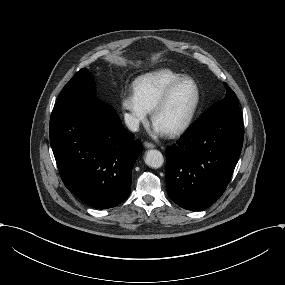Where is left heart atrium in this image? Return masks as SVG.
<instances>
[{"label": "left heart atrium", "instance_id": "1", "mask_svg": "<svg viewBox=\"0 0 285 285\" xmlns=\"http://www.w3.org/2000/svg\"><path fill=\"white\" fill-rule=\"evenodd\" d=\"M167 133V130L158 122L153 123V128H152V135L153 136H163Z\"/></svg>", "mask_w": 285, "mask_h": 285}]
</instances>
